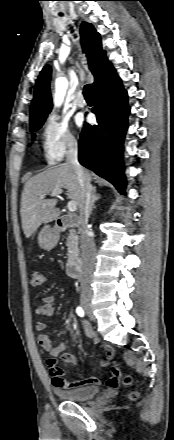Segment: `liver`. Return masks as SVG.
Masks as SVG:
<instances>
[{"label":"liver","mask_w":174,"mask_h":440,"mask_svg":"<svg viewBox=\"0 0 174 440\" xmlns=\"http://www.w3.org/2000/svg\"><path fill=\"white\" fill-rule=\"evenodd\" d=\"M90 180L91 174L87 172ZM67 189L69 199L76 202L80 208L82 190L78 175L74 167L64 163L48 169L30 178L24 185L21 197V222L26 238L39 228L42 223H49L60 216L56 208L57 199H42L41 195H48L56 189Z\"/></svg>","instance_id":"6515ba94"}]
</instances>
